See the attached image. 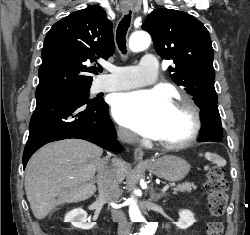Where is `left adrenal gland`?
Listing matches in <instances>:
<instances>
[{"mask_svg":"<svg viewBox=\"0 0 250 235\" xmlns=\"http://www.w3.org/2000/svg\"><path fill=\"white\" fill-rule=\"evenodd\" d=\"M166 194L165 193H159V194H155V191H154V188H153V185L151 186L150 188V199L153 201V202H157L160 198L162 197H165Z\"/></svg>","mask_w":250,"mask_h":235,"instance_id":"1","label":"left adrenal gland"}]
</instances>
